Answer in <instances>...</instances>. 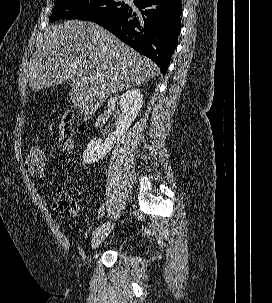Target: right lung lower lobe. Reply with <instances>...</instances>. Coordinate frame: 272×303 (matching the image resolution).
Returning a JSON list of instances; mask_svg holds the SVG:
<instances>
[{
	"mask_svg": "<svg viewBox=\"0 0 272 303\" xmlns=\"http://www.w3.org/2000/svg\"><path fill=\"white\" fill-rule=\"evenodd\" d=\"M134 4L139 14L127 6L96 23L152 59L165 75L181 30V0H137Z\"/></svg>",
	"mask_w": 272,
	"mask_h": 303,
	"instance_id": "right-lung-lower-lobe-1",
	"label": "right lung lower lobe"
}]
</instances>
